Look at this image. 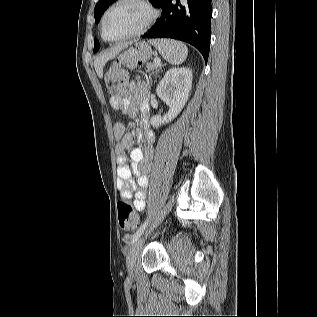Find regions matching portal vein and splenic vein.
<instances>
[{
  "instance_id": "1",
  "label": "portal vein and splenic vein",
  "mask_w": 317,
  "mask_h": 317,
  "mask_svg": "<svg viewBox=\"0 0 317 317\" xmlns=\"http://www.w3.org/2000/svg\"><path fill=\"white\" fill-rule=\"evenodd\" d=\"M154 63L157 65V66H160L161 65V60L159 58H155L154 59Z\"/></svg>"
}]
</instances>
